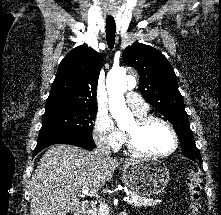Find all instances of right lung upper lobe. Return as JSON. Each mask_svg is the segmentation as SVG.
I'll list each match as a JSON object with an SVG mask.
<instances>
[{"mask_svg": "<svg viewBox=\"0 0 221 215\" xmlns=\"http://www.w3.org/2000/svg\"><path fill=\"white\" fill-rule=\"evenodd\" d=\"M102 56L88 46H78L61 61L44 114L75 108H97L96 88Z\"/></svg>", "mask_w": 221, "mask_h": 215, "instance_id": "obj_1", "label": "right lung upper lobe"}]
</instances>
